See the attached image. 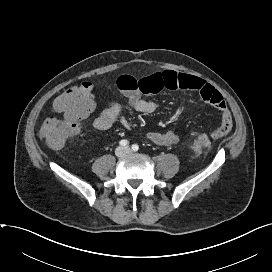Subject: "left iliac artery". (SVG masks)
I'll list each match as a JSON object with an SVG mask.
<instances>
[{
	"label": "left iliac artery",
	"instance_id": "left-iliac-artery-1",
	"mask_svg": "<svg viewBox=\"0 0 272 272\" xmlns=\"http://www.w3.org/2000/svg\"><path fill=\"white\" fill-rule=\"evenodd\" d=\"M138 149H139V146L137 144L132 145V150L133 151H138Z\"/></svg>",
	"mask_w": 272,
	"mask_h": 272
}]
</instances>
